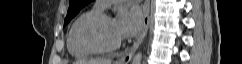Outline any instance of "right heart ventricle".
I'll list each match as a JSON object with an SVG mask.
<instances>
[{"instance_id": "e07e8e85", "label": "right heart ventricle", "mask_w": 242, "mask_h": 64, "mask_svg": "<svg viewBox=\"0 0 242 64\" xmlns=\"http://www.w3.org/2000/svg\"><path fill=\"white\" fill-rule=\"evenodd\" d=\"M103 12V9L94 6L93 8L81 13L72 23L67 34V49L76 58H86L92 56L93 52L82 47L77 40V30L81 23L89 16Z\"/></svg>"}]
</instances>
